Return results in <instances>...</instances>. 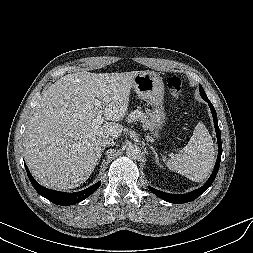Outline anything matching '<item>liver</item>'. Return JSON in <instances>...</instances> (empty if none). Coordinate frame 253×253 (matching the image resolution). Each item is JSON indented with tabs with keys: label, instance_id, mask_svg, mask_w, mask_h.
Listing matches in <instances>:
<instances>
[{
	"label": "liver",
	"instance_id": "6515ba94",
	"mask_svg": "<svg viewBox=\"0 0 253 253\" xmlns=\"http://www.w3.org/2000/svg\"><path fill=\"white\" fill-rule=\"evenodd\" d=\"M140 72L82 71L61 77L44 91L24 136L26 163L42 185L67 190L90 177L101 158V139H117L124 130L116 122L126 115ZM99 113L110 122L96 127L92 120Z\"/></svg>",
	"mask_w": 253,
	"mask_h": 253
}]
</instances>
